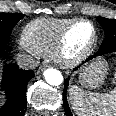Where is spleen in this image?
Segmentation results:
<instances>
[{
	"label": "spleen",
	"instance_id": "spleen-1",
	"mask_svg": "<svg viewBox=\"0 0 116 116\" xmlns=\"http://www.w3.org/2000/svg\"><path fill=\"white\" fill-rule=\"evenodd\" d=\"M69 92L78 116H116V88L107 93H87L73 86Z\"/></svg>",
	"mask_w": 116,
	"mask_h": 116
}]
</instances>
